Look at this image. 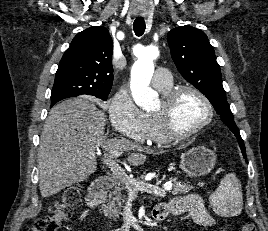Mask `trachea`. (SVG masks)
Wrapping results in <instances>:
<instances>
[{"instance_id":"1","label":"trachea","mask_w":268,"mask_h":231,"mask_svg":"<svg viewBox=\"0 0 268 231\" xmlns=\"http://www.w3.org/2000/svg\"><path fill=\"white\" fill-rule=\"evenodd\" d=\"M133 29H134L136 36H142L146 29V24H145L144 19L136 18L133 23Z\"/></svg>"}]
</instances>
